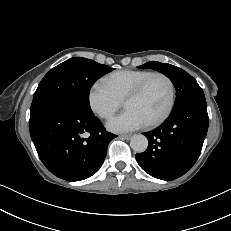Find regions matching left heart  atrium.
<instances>
[{"mask_svg":"<svg viewBox=\"0 0 231 231\" xmlns=\"http://www.w3.org/2000/svg\"><path fill=\"white\" fill-rule=\"evenodd\" d=\"M146 121L135 111L126 109L123 113L110 119L107 128L112 132L123 133L140 129Z\"/></svg>","mask_w":231,"mask_h":231,"instance_id":"1","label":"left heart atrium"}]
</instances>
